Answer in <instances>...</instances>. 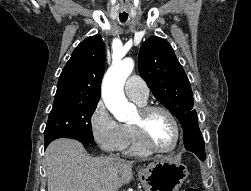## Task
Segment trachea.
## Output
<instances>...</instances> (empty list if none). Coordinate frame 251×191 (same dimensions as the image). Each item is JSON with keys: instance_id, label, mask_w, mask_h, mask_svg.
<instances>
[{"instance_id": "obj_1", "label": "trachea", "mask_w": 251, "mask_h": 191, "mask_svg": "<svg viewBox=\"0 0 251 191\" xmlns=\"http://www.w3.org/2000/svg\"><path fill=\"white\" fill-rule=\"evenodd\" d=\"M128 15H120L121 22H125L127 20Z\"/></svg>"}]
</instances>
